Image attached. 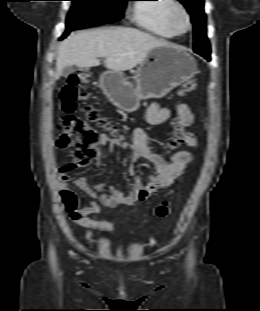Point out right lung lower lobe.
Listing matches in <instances>:
<instances>
[{"mask_svg":"<svg viewBox=\"0 0 260 311\" xmlns=\"http://www.w3.org/2000/svg\"><path fill=\"white\" fill-rule=\"evenodd\" d=\"M66 35L64 34L62 38H64Z\"/></svg>","mask_w":260,"mask_h":311,"instance_id":"obj_1","label":"right lung lower lobe"}]
</instances>
